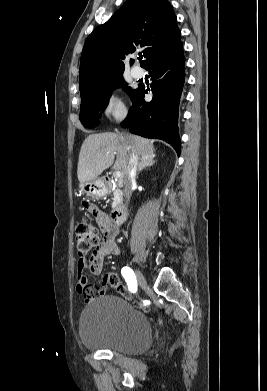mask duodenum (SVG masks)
Returning a JSON list of instances; mask_svg holds the SVG:
<instances>
[{"label":"duodenum","mask_w":267,"mask_h":391,"mask_svg":"<svg viewBox=\"0 0 267 391\" xmlns=\"http://www.w3.org/2000/svg\"><path fill=\"white\" fill-rule=\"evenodd\" d=\"M127 218V211L124 208H116L111 216L109 225L112 230H118L120 225L126 220Z\"/></svg>","instance_id":"duodenum-1"}]
</instances>
